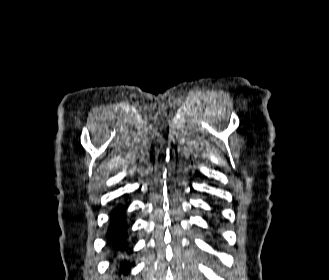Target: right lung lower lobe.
<instances>
[{"instance_id": "right-lung-lower-lobe-1", "label": "right lung lower lobe", "mask_w": 329, "mask_h": 280, "mask_svg": "<svg viewBox=\"0 0 329 280\" xmlns=\"http://www.w3.org/2000/svg\"><path fill=\"white\" fill-rule=\"evenodd\" d=\"M125 208H117L114 212L111 221V228L108 232L109 244L115 251H121L126 242V223L123 220V212ZM125 269L130 268L129 263H123Z\"/></svg>"}]
</instances>
